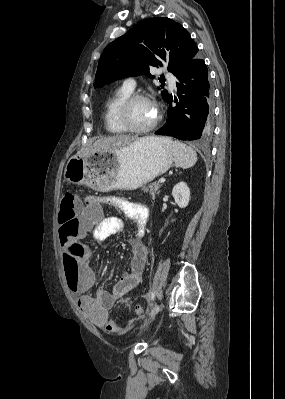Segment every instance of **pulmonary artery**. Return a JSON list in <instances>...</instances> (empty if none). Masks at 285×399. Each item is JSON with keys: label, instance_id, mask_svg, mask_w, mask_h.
<instances>
[{"label": "pulmonary artery", "instance_id": "1", "mask_svg": "<svg viewBox=\"0 0 285 399\" xmlns=\"http://www.w3.org/2000/svg\"><path fill=\"white\" fill-rule=\"evenodd\" d=\"M166 79H168L170 88H175V79L170 73H165ZM123 87L128 89L129 91H133L136 87V82L133 78H128L123 82Z\"/></svg>", "mask_w": 285, "mask_h": 399}]
</instances>
